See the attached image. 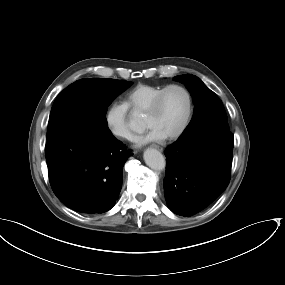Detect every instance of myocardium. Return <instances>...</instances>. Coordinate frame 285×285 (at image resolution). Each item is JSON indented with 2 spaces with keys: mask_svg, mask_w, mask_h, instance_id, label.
Returning <instances> with one entry per match:
<instances>
[{
  "mask_svg": "<svg viewBox=\"0 0 285 285\" xmlns=\"http://www.w3.org/2000/svg\"><path fill=\"white\" fill-rule=\"evenodd\" d=\"M172 88H178L185 93L186 98H187V110H186L185 116H184L180 126L178 127V129L171 134L162 136V138L166 139V140H172V139H176V138L180 137L189 124V121H190L191 115H192V111H193V100H192V95H191L190 91L185 86H183L181 84L175 83V84L166 85L157 93V95L154 97V99L151 101L150 105L148 106L147 110L145 111V114L155 113L161 105V101H162L164 94L169 89H172Z\"/></svg>",
  "mask_w": 285,
  "mask_h": 285,
  "instance_id": "obj_1",
  "label": "myocardium"
}]
</instances>
